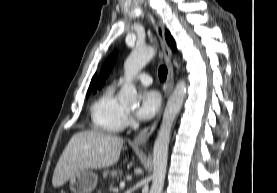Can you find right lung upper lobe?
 <instances>
[{
  "instance_id": "cb5924a9",
  "label": "right lung upper lobe",
  "mask_w": 277,
  "mask_h": 193,
  "mask_svg": "<svg viewBox=\"0 0 277 193\" xmlns=\"http://www.w3.org/2000/svg\"><path fill=\"white\" fill-rule=\"evenodd\" d=\"M165 37H166V40H167L168 44L170 45V47L173 50H175V48H176L175 41H174V39L172 38V36L170 35V33L168 31L165 32ZM95 78H96V75L92 79V82H91L89 90H88V94L91 92V90L93 88V85H94V82H95Z\"/></svg>"
}]
</instances>
